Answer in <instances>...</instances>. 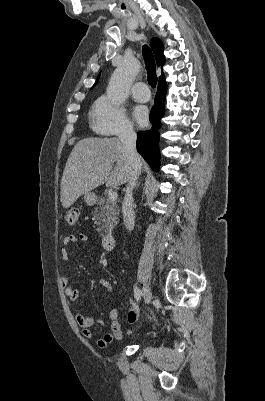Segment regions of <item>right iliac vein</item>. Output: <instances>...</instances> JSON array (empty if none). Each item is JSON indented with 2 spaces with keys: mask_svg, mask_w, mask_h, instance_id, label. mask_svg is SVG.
I'll return each mask as SVG.
<instances>
[{
  "mask_svg": "<svg viewBox=\"0 0 265 401\" xmlns=\"http://www.w3.org/2000/svg\"><path fill=\"white\" fill-rule=\"evenodd\" d=\"M143 298H144V302H145L146 305L149 304L151 302V300H152V292H151V289H150V287L148 285L144 286Z\"/></svg>",
  "mask_w": 265,
  "mask_h": 401,
  "instance_id": "63e3f726",
  "label": "right iliac vein"
}]
</instances>
